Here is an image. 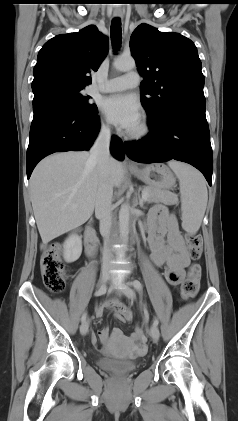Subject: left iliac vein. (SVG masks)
I'll return each mask as SVG.
<instances>
[{"label": "left iliac vein", "mask_w": 238, "mask_h": 421, "mask_svg": "<svg viewBox=\"0 0 238 421\" xmlns=\"http://www.w3.org/2000/svg\"><path fill=\"white\" fill-rule=\"evenodd\" d=\"M108 279L113 281V277L111 275H109ZM122 290L128 298H130V299L135 298V293L132 290L130 284L122 285ZM150 335H151L154 342L158 341L159 336H160V332H159V329H158L157 325H154V324L152 325L151 330H150Z\"/></svg>", "instance_id": "4c4485c4"}]
</instances>
